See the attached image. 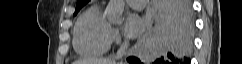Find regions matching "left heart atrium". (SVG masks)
I'll list each match as a JSON object with an SVG mask.
<instances>
[{"label": "left heart atrium", "mask_w": 242, "mask_h": 64, "mask_svg": "<svg viewBox=\"0 0 242 64\" xmlns=\"http://www.w3.org/2000/svg\"><path fill=\"white\" fill-rule=\"evenodd\" d=\"M126 31L130 37H136L143 33L144 24L142 19L135 13H129L126 16Z\"/></svg>", "instance_id": "left-heart-atrium-1"}]
</instances>
